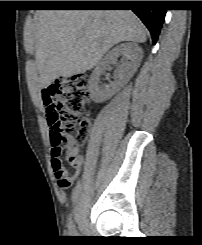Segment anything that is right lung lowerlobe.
Returning a JSON list of instances; mask_svg holds the SVG:
<instances>
[{"mask_svg": "<svg viewBox=\"0 0 202 245\" xmlns=\"http://www.w3.org/2000/svg\"><path fill=\"white\" fill-rule=\"evenodd\" d=\"M83 7H132V11L142 20L149 29L152 41L155 44L160 29L162 27L166 10L163 9L158 1H129V3H120L119 1H82Z\"/></svg>", "mask_w": 202, "mask_h": 245, "instance_id": "right-lung-lower-lobe-1", "label": "right lung lower lobe"}]
</instances>
